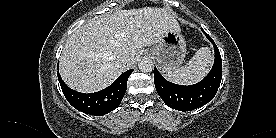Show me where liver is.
Masks as SVG:
<instances>
[{
	"label": "liver",
	"instance_id": "1",
	"mask_svg": "<svg viewBox=\"0 0 276 138\" xmlns=\"http://www.w3.org/2000/svg\"><path fill=\"white\" fill-rule=\"evenodd\" d=\"M176 28L178 22L167 8L116 10L92 19L67 39L60 57V75L79 92L104 89L139 60L144 47L159 43ZM123 55L130 56V65L121 63Z\"/></svg>",
	"mask_w": 276,
	"mask_h": 138
}]
</instances>
